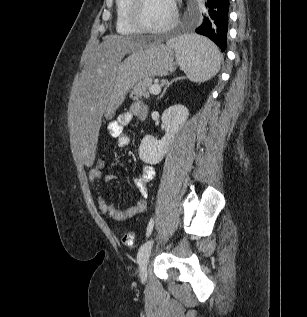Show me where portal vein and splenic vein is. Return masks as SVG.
I'll return each mask as SVG.
<instances>
[{
  "label": "portal vein and splenic vein",
  "instance_id": "obj_1",
  "mask_svg": "<svg viewBox=\"0 0 307 317\" xmlns=\"http://www.w3.org/2000/svg\"><path fill=\"white\" fill-rule=\"evenodd\" d=\"M149 92L153 95H158L161 92V86L154 84L149 88Z\"/></svg>",
  "mask_w": 307,
  "mask_h": 317
}]
</instances>
